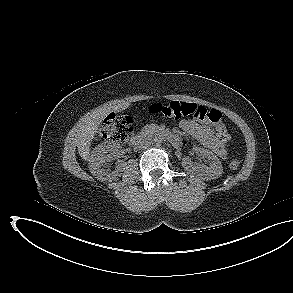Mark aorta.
Listing matches in <instances>:
<instances>
[{"label":"aorta","instance_id":"aorta-1","mask_svg":"<svg viewBox=\"0 0 293 293\" xmlns=\"http://www.w3.org/2000/svg\"><path fill=\"white\" fill-rule=\"evenodd\" d=\"M163 141H164V137L161 136V135H159V136H157V137L154 138V142L156 144H161Z\"/></svg>","mask_w":293,"mask_h":293}]
</instances>
